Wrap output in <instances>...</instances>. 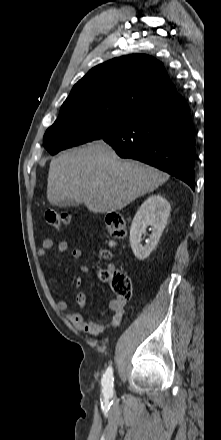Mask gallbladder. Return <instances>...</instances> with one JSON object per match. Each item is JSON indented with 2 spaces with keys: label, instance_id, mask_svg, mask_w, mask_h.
Wrapping results in <instances>:
<instances>
[{
  "label": "gallbladder",
  "instance_id": "bac80fb5",
  "mask_svg": "<svg viewBox=\"0 0 221 440\" xmlns=\"http://www.w3.org/2000/svg\"><path fill=\"white\" fill-rule=\"evenodd\" d=\"M80 203L76 202L74 200H63L58 202L56 205L58 207L64 208V207H70V206H78Z\"/></svg>",
  "mask_w": 221,
  "mask_h": 440
}]
</instances>
